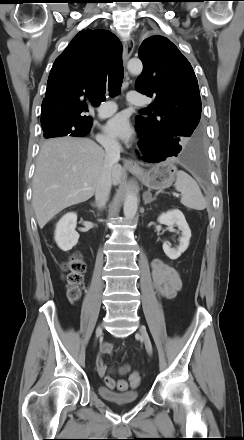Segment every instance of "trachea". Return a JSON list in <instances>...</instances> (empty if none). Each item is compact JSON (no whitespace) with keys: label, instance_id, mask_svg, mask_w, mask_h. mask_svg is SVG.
<instances>
[{"label":"trachea","instance_id":"obj_1","mask_svg":"<svg viewBox=\"0 0 244 440\" xmlns=\"http://www.w3.org/2000/svg\"><path fill=\"white\" fill-rule=\"evenodd\" d=\"M124 71L121 60H118L111 67L109 72V92L111 96H117L121 92Z\"/></svg>","mask_w":244,"mask_h":440}]
</instances>
